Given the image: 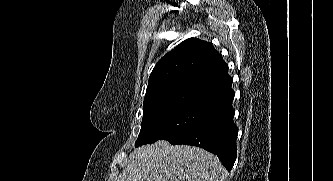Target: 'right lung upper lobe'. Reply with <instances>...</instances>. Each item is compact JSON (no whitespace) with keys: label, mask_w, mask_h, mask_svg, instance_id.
<instances>
[{"label":"right lung upper lobe","mask_w":333,"mask_h":181,"mask_svg":"<svg viewBox=\"0 0 333 181\" xmlns=\"http://www.w3.org/2000/svg\"><path fill=\"white\" fill-rule=\"evenodd\" d=\"M228 65L211 43L190 38L155 65L146 89L144 110L167 105L208 109L233 99Z\"/></svg>","instance_id":"cb5924a9"}]
</instances>
